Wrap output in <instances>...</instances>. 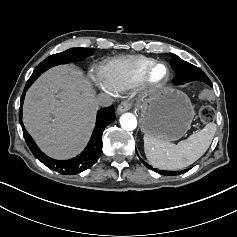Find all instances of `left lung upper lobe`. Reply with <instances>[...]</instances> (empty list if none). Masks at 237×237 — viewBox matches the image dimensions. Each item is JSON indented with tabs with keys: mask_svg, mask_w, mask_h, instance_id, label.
Wrapping results in <instances>:
<instances>
[{
	"mask_svg": "<svg viewBox=\"0 0 237 237\" xmlns=\"http://www.w3.org/2000/svg\"><path fill=\"white\" fill-rule=\"evenodd\" d=\"M170 55L173 57L172 66L177 74V77L173 81L175 85H182L191 81H201L212 87V83L210 79L200 68L186 61H183L178 56L172 53H170ZM142 163L148 168H150L151 170H153V168L149 166L147 163H145L144 161H142ZM154 171L166 176L176 175L177 173L181 172V171L180 172L164 171V170H157V169H154Z\"/></svg>",
	"mask_w": 237,
	"mask_h": 237,
	"instance_id": "obj_1",
	"label": "left lung upper lobe"
}]
</instances>
